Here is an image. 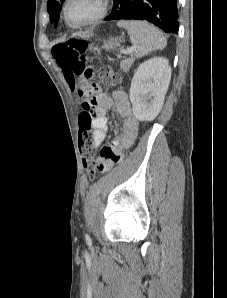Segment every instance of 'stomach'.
Masks as SVG:
<instances>
[{
  "mask_svg": "<svg viewBox=\"0 0 227 298\" xmlns=\"http://www.w3.org/2000/svg\"><path fill=\"white\" fill-rule=\"evenodd\" d=\"M120 45V41L117 38H111L109 41L105 42L103 45V49L110 51L115 49Z\"/></svg>",
  "mask_w": 227,
  "mask_h": 298,
  "instance_id": "obj_1",
  "label": "stomach"
}]
</instances>
